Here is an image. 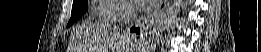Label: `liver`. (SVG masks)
I'll return each mask as SVG.
<instances>
[{
	"instance_id": "6515ba94",
	"label": "liver",
	"mask_w": 261,
	"mask_h": 52,
	"mask_svg": "<svg viewBox=\"0 0 261 52\" xmlns=\"http://www.w3.org/2000/svg\"><path fill=\"white\" fill-rule=\"evenodd\" d=\"M84 36L85 47L89 49V52H107L103 50H107L106 46L109 42L111 43L112 40H119L120 43H122L123 41V34L120 32V29L104 22L87 24L85 26ZM123 50H129V48Z\"/></svg>"
}]
</instances>
